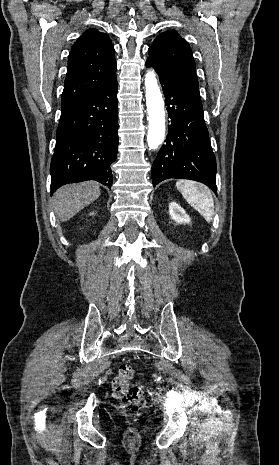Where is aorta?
Returning <instances> with one entry per match:
<instances>
[{"mask_svg": "<svg viewBox=\"0 0 279 465\" xmlns=\"http://www.w3.org/2000/svg\"><path fill=\"white\" fill-rule=\"evenodd\" d=\"M145 88L149 120L147 143L149 149H157L165 136V111L162 94L153 70H149L145 75Z\"/></svg>", "mask_w": 279, "mask_h": 465, "instance_id": "762f6f07", "label": "aorta"}]
</instances>
